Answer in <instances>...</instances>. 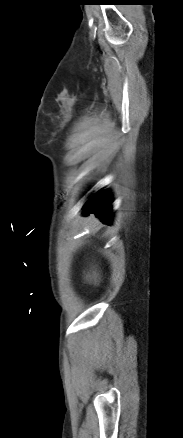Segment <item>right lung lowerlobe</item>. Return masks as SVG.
<instances>
[{"label":"right lung lower lobe","mask_w":183,"mask_h":438,"mask_svg":"<svg viewBox=\"0 0 183 438\" xmlns=\"http://www.w3.org/2000/svg\"><path fill=\"white\" fill-rule=\"evenodd\" d=\"M111 198L107 191H99L97 194H94L89 201L87 202L84 210V214L88 215L89 213H94L97 217H100L101 220L110 224L111 222Z\"/></svg>","instance_id":"1"}]
</instances>
